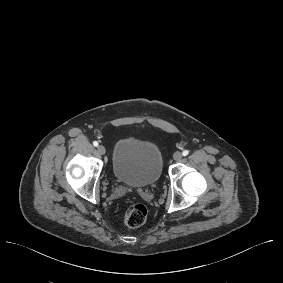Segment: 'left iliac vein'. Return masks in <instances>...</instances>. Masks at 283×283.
I'll use <instances>...</instances> for the list:
<instances>
[{
	"label": "left iliac vein",
	"instance_id": "left-iliac-vein-1",
	"mask_svg": "<svg viewBox=\"0 0 283 283\" xmlns=\"http://www.w3.org/2000/svg\"><path fill=\"white\" fill-rule=\"evenodd\" d=\"M173 158L177 161L180 160L182 158V153L179 151H176L173 155Z\"/></svg>",
	"mask_w": 283,
	"mask_h": 283
}]
</instances>
